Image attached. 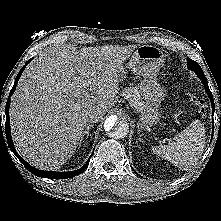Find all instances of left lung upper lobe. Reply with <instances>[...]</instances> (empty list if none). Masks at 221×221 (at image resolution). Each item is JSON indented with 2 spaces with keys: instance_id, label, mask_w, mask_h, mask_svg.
<instances>
[{
  "instance_id": "1",
  "label": "left lung upper lobe",
  "mask_w": 221,
  "mask_h": 221,
  "mask_svg": "<svg viewBox=\"0 0 221 221\" xmlns=\"http://www.w3.org/2000/svg\"><path fill=\"white\" fill-rule=\"evenodd\" d=\"M187 62H188V69H190L192 71L202 70V68L199 66V64L197 62L193 61L192 59L188 58Z\"/></svg>"
}]
</instances>
